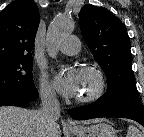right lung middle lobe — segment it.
<instances>
[{
  "label": "right lung middle lobe",
  "instance_id": "dd1d6c3e",
  "mask_svg": "<svg viewBox=\"0 0 144 137\" xmlns=\"http://www.w3.org/2000/svg\"><path fill=\"white\" fill-rule=\"evenodd\" d=\"M32 65L31 56L0 63V95L12 94L36 100L38 91L32 79Z\"/></svg>",
  "mask_w": 144,
  "mask_h": 137
}]
</instances>
